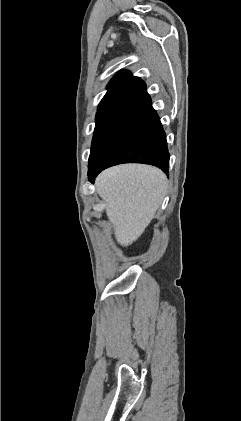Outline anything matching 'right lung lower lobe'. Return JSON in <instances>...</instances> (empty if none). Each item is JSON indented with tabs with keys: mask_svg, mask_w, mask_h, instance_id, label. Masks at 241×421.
Here are the masks:
<instances>
[{
	"mask_svg": "<svg viewBox=\"0 0 241 421\" xmlns=\"http://www.w3.org/2000/svg\"><path fill=\"white\" fill-rule=\"evenodd\" d=\"M121 163H144L169 169L166 135L147 92L132 105L119 131L96 164L89 168V181L104 169Z\"/></svg>",
	"mask_w": 241,
	"mask_h": 421,
	"instance_id": "right-lung-lower-lobe-1",
	"label": "right lung lower lobe"
}]
</instances>
